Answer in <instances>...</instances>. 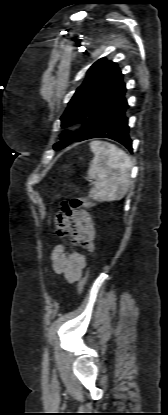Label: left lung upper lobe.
<instances>
[{
    "label": "left lung upper lobe",
    "instance_id": "5c2ea615",
    "mask_svg": "<svg viewBox=\"0 0 168 415\" xmlns=\"http://www.w3.org/2000/svg\"><path fill=\"white\" fill-rule=\"evenodd\" d=\"M122 78L123 74L117 64L106 61L105 58L99 59L90 67L86 79L76 90L61 117L62 127L76 122L84 123V127L74 134L63 133L54 149H62L84 134L104 107L126 89Z\"/></svg>",
    "mask_w": 168,
    "mask_h": 415
}]
</instances>
